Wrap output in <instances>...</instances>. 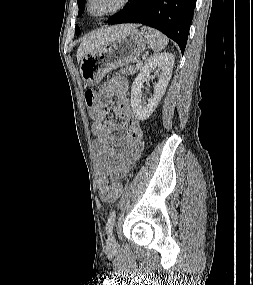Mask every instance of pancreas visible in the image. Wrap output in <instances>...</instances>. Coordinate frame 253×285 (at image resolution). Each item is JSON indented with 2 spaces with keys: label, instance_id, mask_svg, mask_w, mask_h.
Returning <instances> with one entry per match:
<instances>
[{
  "label": "pancreas",
  "instance_id": "pancreas-1",
  "mask_svg": "<svg viewBox=\"0 0 253 285\" xmlns=\"http://www.w3.org/2000/svg\"><path fill=\"white\" fill-rule=\"evenodd\" d=\"M137 67L135 66H127L124 69H121V73L124 75H133L137 71Z\"/></svg>",
  "mask_w": 253,
  "mask_h": 285
}]
</instances>
